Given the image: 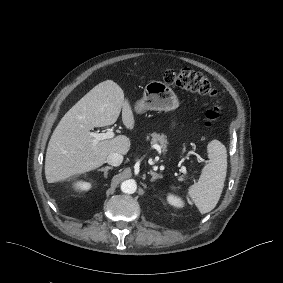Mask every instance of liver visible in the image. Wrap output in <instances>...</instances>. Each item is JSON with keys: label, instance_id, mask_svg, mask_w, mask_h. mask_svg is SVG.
I'll return each mask as SVG.
<instances>
[{"label": "liver", "instance_id": "liver-1", "mask_svg": "<svg viewBox=\"0 0 283 283\" xmlns=\"http://www.w3.org/2000/svg\"><path fill=\"white\" fill-rule=\"evenodd\" d=\"M122 109V122L134 128V116L121 87L106 80L84 95L60 120L48 144L45 176L48 183L94 170L106 162L110 153L126 155L130 139L118 135L93 145L90 131L113 125Z\"/></svg>", "mask_w": 283, "mask_h": 283}]
</instances>
